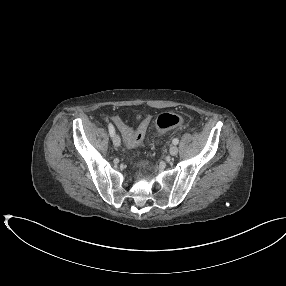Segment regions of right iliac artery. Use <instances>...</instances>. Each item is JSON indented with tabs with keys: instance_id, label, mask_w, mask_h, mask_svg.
<instances>
[{
	"instance_id": "obj_1",
	"label": "right iliac artery",
	"mask_w": 286,
	"mask_h": 286,
	"mask_svg": "<svg viewBox=\"0 0 286 286\" xmlns=\"http://www.w3.org/2000/svg\"><path fill=\"white\" fill-rule=\"evenodd\" d=\"M108 129H109L110 136L113 137L115 134V129L111 123L108 124Z\"/></svg>"
}]
</instances>
